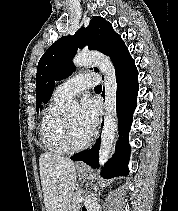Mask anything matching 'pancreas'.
I'll return each instance as SVG.
<instances>
[{
	"mask_svg": "<svg viewBox=\"0 0 178 211\" xmlns=\"http://www.w3.org/2000/svg\"><path fill=\"white\" fill-rule=\"evenodd\" d=\"M82 194L77 192L73 195V197L70 200V204H69V209L68 211H79V208L81 207V205L77 202V199L81 198Z\"/></svg>",
	"mask_w": 178,
	"mask_h": 211,
	"instance_id": "obj_1",
	"label": "pancreas"
}]
</instances>
